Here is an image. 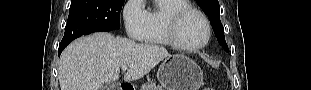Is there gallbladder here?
<instances>
[{"instance_id":"1","label":"gallbladder","mask_w":311,"mask_h":90,"mask_svg":"<svg viewBox=\"0 0 311 90\" xmlns=\"http://www.w3.org/2000/svg\"><path fill=\"white\" fill-rule=\"evenodd\" d=\"M102 90H114V85L111 84H103L101 87Z\"/></svg>"}]
</instances>
